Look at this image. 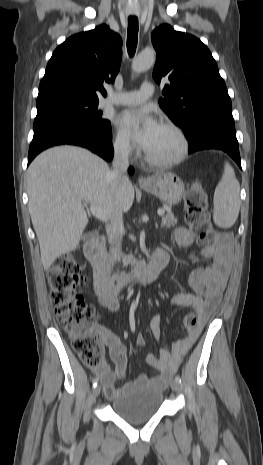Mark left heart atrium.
I'll use <instances>...</instances> for the list:
<instances>
[{
    "label": "left heart atrium",
    "mask_w": 263,
    "mask_h": 465,
    "mask_svg": "<svg viewBox=\"0 0 263 465\" xmlns=\"http://www.w3.org/2000/svg\"><path fill=\"white\" fill-rule=\"evenodd\" d=\"M118 124L146 151L162 127L148 109L125 111L119 117Z\"/></svg>",
    "instance_id": "obj_1"
}]
</instances>
